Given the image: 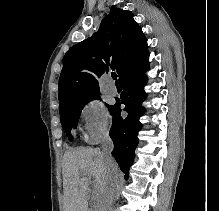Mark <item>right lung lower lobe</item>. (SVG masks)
<instances>
[{
  "label": "right lung lower lobe",
  "mask_w": 219,
  "mask_h": 211,
  "mask_svg": "<svg viewBox=\"0 0 219 211\" xmlns=\"http://www.w3.org/2000/svg\"><path fill=\"white\" fill-rule=\"evenodd\" d=\"M148 67L147 60L122 77L120 80L123 86L121 99H117L116 104L109 109L113 115L110 129V136L114 143L112 155L118 162L122 172L126 174L125 179L128 178L129 168L134 161V151L138 144L137 134L142 127L139 118L145 112L141 103L146 97L143 87L147 81L144 73ZM121 104L125 106L121 108ZM122 110L128 113L127 117L121 116Z\"/></svg>",
  "instance_id": "obj_1"
}]
</instances>
